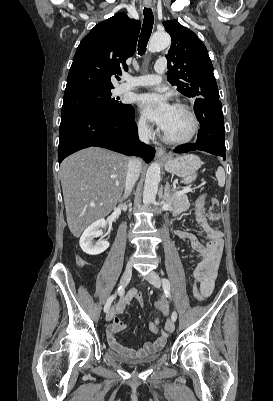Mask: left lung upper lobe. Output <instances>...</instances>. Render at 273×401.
<instances>
[{"label": "left lung upper lobe", "instance_id": "left-lung-upper-lobe-1", "mask_svg": "<svg viewBox=\"0 0 273 401\" xmlns=\"http://www.w3.org/2000/svg\"><path fill=\"white\" fill-rule=\"evenodd\" d=\"M172 38L166 55L168 81L191 98L219 99L213 65L208 51L197 35L177 20L163 22Z\"/></svg>", "mask_w": 273, "mask_h": 401}]
</instances>
